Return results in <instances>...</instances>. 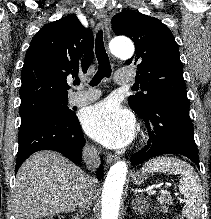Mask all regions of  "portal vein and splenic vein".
Wrapping results in <instances>:
<instances>
[{"mask_svg":"<svg viewBox=\"0 0 211 219\" xmlns=\"http://www.w3.org/2000/svg\"><path fill=\"white\" fill-rule=\"evenodd\" d=\"M157 192V190H150L149 191V194H154V193H156ZM162 193H166V194H169L167 191H161Z\"/></svg>","mask_w":211,"mask_h":219,"instance_id":"1","label":"portal vein and splenic vein"}]
</instances>
